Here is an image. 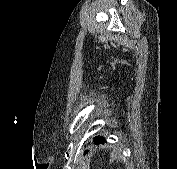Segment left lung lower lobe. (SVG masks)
Segmentation results:
<instances>
[{
  "label": "left lung lower lobe",
  "mask_w": 177,
  "mask_h": 169,
  "mask_svg": "<svg viewBox=\"0 0 177 169\" xmlns=\"http://www.w3.org/2000/svg\"><path fill=\"white\" fill-rule=\"evenodd\" d=\"M106 141V139L104 137H98L97 139L94 140L95 144H100V143H104Z\"/></svg>",
  "instance_id": "left-lung-lower-lobe-1"
}]
</instances>
